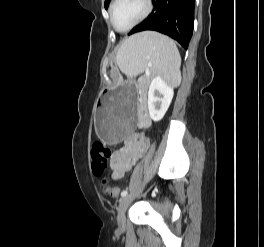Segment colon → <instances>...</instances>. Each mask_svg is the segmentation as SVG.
Listing matches in <instances>:
<instances>
[{
	"label": "colon",
	"mask_w": 264,
	"mask_h": 247,
	"mask_svg": "<svg viewBox=\"0 0 264 247\" xmlns=\"http://www.w3.org/2000/svg\"><path fill=\"white\" fill-rule=\"evenodd\" d=\"M111 153L102 143H95L91 149L92 171L95 176H102L108 166ZM102 193L107 197H116L119 189L108 178L100 182Z\"/></svg>",
	"instance_id": "colon-1"
}]
</instances>
